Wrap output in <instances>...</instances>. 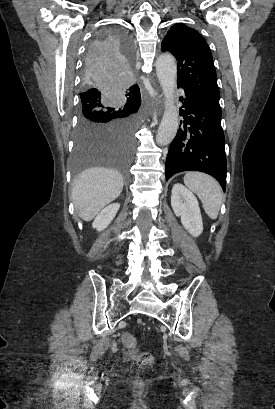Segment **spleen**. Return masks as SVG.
<instances>
[{
	"mask_svg": "<svg viewBox=\"0 0 275 409\" xmlns=\"http://www.w3.org/2000/svg\"><path fill=\"white\" fill-rule=\"evenodd\" d=\"M184 184L201 198L206 215L210 219H217L222 205V188L219 182L204 172H187Z\"/></svg>",
	"mask_w": 275,
	"mask_h": 409,
	"instance_id": "obj_1",
	"label": "spleen"
}]
</instances>
